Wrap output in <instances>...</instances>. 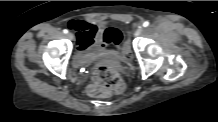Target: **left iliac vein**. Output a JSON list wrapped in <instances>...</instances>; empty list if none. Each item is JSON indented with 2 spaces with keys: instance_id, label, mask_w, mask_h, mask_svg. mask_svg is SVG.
I'll return each mask as SVG.
<instances>
[{
  "instance_id": "1",
  "label": "left iliac vein",
  "mask_w": 218,
  "mask_h": 122,
  "mask_svg": "<svg viewBox=\"0 0 218 122\" xmlns=\"http://www.w3.org/2000/svg\"><path fill=\"white\" fill-rule=\"evenodd\" d=\"M142 32H143V27L139 26L135 31V35L140 36Z\"/></svg>"
}]
</instances>
